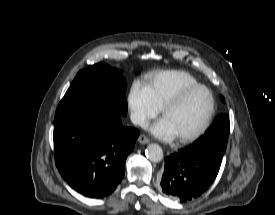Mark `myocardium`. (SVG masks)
I'll list each match as a JSON object with an SVG mask.
<instances>
[{"label":"myocardium","mask_w":275,"mask_h":215,"mask_svg":"<svg viewBox=\"0 0 275 215\" xmlns=\"http://www.w3.org/2000/svg\"><path fill=\"white\" fill-rule=\"evenodd\" d=\"M197 89H204L208 92V94L210 96V101H211L210 108H209V111H208L206 117L202 121V123L193 132L177 137L178 141H180L182 143H187V142L193 141L194 139L199 137L209 126V124L213 118V115L215 113V108H216V101H215L213 92L211 91V89L209 87H207L204 84L197 83L194 85H190V86H187V87H184L183 89H181L172 98H170L162 107V115L165 116L169 110H171L172 108L177 106L189 93H191Z\"/></svg>","instance_id":"myocardium-1"}]
</instances>
